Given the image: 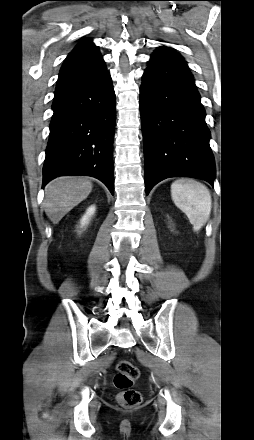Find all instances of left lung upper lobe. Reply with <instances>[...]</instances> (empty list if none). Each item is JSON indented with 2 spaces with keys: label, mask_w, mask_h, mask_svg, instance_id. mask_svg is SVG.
Wrapping results in <instances>:
<instances>
[{
  "label": "left lung upper lobe",
  "mask_w": 254,
  "mask_h": 440,
  "mask_svg": "<svg viewBox=\"0 0 254 440\" xmlns=\"http://www.w3.org/2000/svg\"><path fill=\"white\" fill-rule=\"evenodd\" d=\"M159 48H166V49H170V48H168V47H165V46H161V47H159Z\"/></svg>",
  "instance_id": "obj_1"
}]
</instances>
